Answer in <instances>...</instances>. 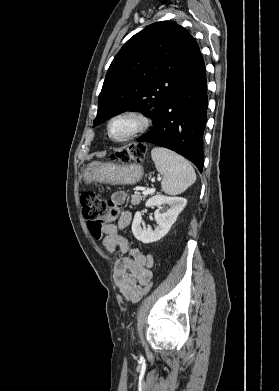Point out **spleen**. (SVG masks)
<instances>
[{
    "label": "spleen",
    "mask_w": 279,
    "mask_h": 391,
    "mask_svg": "<svg viewBox=\"0 0 279 391\" xmlns=\"http://www.w3.org/2000/svg\"><path fill=\"white\" fill-rule=\"evenodd\" d=\"M151 156L157 171L163 175L161 187L166 194H180L196 181L192 165L179 154L167 148L155 147Z\"/></svg>",
    "instance_id": "obj_1"
}]
</instances>
